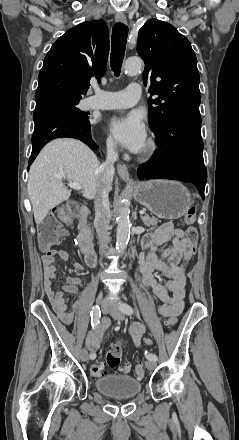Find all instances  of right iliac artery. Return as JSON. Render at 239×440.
<instances>
[{"label": "right iliac artery", "instance_id": "right-iliac-artery-1", "mask_svg": "<svg viewBox=\"0 0 239 440\" xmlns=\"http://www.w3.org/2000/svg\"><path fill=\"white\" fill-rule=\"evenodd\" d=\"M90 314H91V325H92V328H95L99 324L100 318H101L100 307L98 305H95L92 308V311H91ZM95 358H96V355L94 353H91L90 354V359H95Z\"/></svg>", "mask_w": 239, "mask_h": 440}]
</instances>
